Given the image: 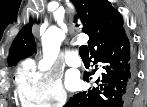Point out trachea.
<instances>
[{
  "label": "trachea",
  "mask_w": 147,
  "mask_h": 107,
  "mask_svg": "<svg viewBox=\"0 0 147 107\" xmlns=\"http://www.w3.org/2000/svg\"><path fill=\"white\" fill-rule=\"evenodd\" d=\"M80 56H81V57H88V56H89L87 45H82V46L80 47Z\"/></svg>",
  "instance_id": "trachea-1"
}]
</instances>
